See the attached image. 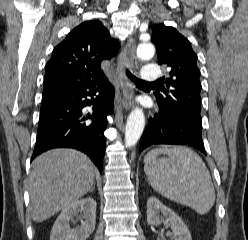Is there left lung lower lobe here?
Wrapping results in <instances>:
<instances>
[{
    "instance_id": "1",
    "label": "left lung lower lobe",
    "mask_w": 248,
    "mask_h": 240,
    "mask_svg": "<svg viewBox=\"0 0 248 240\" xmlns=\"http://www.w3.org/2000/svg\"><path fill=\"white\" fill-rule=\"evenodd\" d=\"M157 144L190 146L206 154L202 140V118L198 114L177 115L159 109L149 119L140 139V152Z\"/></svg>"
}]
</instances>
